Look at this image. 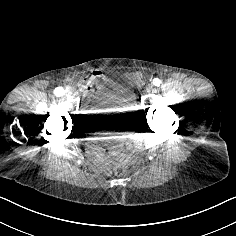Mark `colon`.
Returning <instances> with one entry per match:
<instances>
[{"instance_id": "colon-1", "label": "colon", "mask_w": 236, "mask_h": 236, "mask_svg": "<svg viewBox=\"0 0 236 236\" xmlns=\"http://www.w3.org/2000/svg\"><path fill=\"white\" fill-rule=\"evenodd\" d=\"M114 172L118 176H123L128 172V165L125 162L118 163L114 167Z\"/></svg>"}]
</instances>
